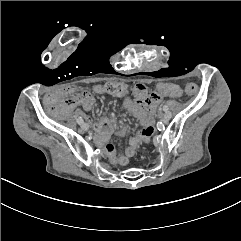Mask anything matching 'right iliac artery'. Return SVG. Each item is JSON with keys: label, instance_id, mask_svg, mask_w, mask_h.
<instances>
[{"label": "right iliac artery", "instance_id": "right-iliac-artery-1", "mask_svg": "<svg viewBox=\"0 0 241 241\" xmlns=\"http://www.w3.org/2000/svg\"><path fill=\"white\" fill-rule=\"evenodd\" d=\"M77 122H78V124H82L83 123V119L81 117H78L77 118Z\"/></svg>", "mask_w": 241, "mask_h": 241}]
</instances>
